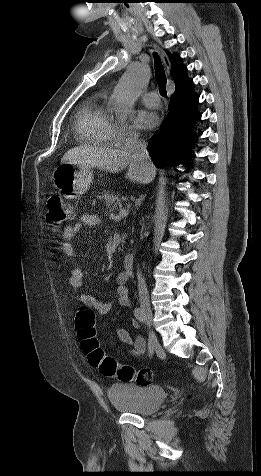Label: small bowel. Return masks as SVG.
<instances>
[{"instance_id": "obj_1", "label": "small bowel", "mask_w": 261, "mask_h": 476, "mask_svg": "<svg viewBox=\"0 0 261 476\" xmlns=\"http://www.w3.org/2000/svg\"><path fill=\"white\" fill-rule=\"evenodd\" d=\"M100 224L99 216L95 214H84L82 215L78 221L72 225L65 228L63 233V242L61 243L60 249L61 251L70 258L75 257V250L71 244V240L77 235V233L87 227H96ZM126 275L121 274L118 277V285L115 289V293L112 299H96L91 295L85 294L80 292L81 288L83 287V278L84 274L80 267L75 266L70 271L68 284L76 292L77 300L82 303L84 306L91 307L94 311L101 315H106L110 313L112 308L115 305H119L123 308H130L131 301L128 296V291L126 286L124 285ZM133 327H138L136 321H132ZM117 335L119 339L131 346H133V351H131V355L139 356L141 355L146 347V342L144 338L141 336H134L131 335L126 329L119 328L117 330Z\"/></svg>"}]
</instances>
